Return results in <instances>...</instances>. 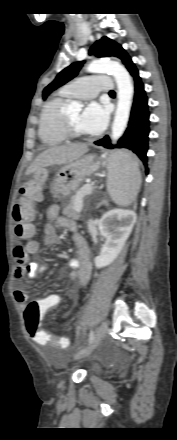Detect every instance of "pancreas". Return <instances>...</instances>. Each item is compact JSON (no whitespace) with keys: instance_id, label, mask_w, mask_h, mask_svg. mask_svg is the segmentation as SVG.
Listing matches in <instances>:
<instances>
[{"instance_id":"1","label":"pancreas","mask_w":177,"mask_h":440,"mask_svg":"<svg viewBox=\"0 0 177 440\" xmlns=\"http://www.w3.org/2000/svg\"><path fill=\"white\" fill-rule=\"evenodd\" d=\"M90 185H86L79 189L74 196H72L70 203L63 209L62 214L67 218L78 220L80 218V213L77 211V204H81L83 207V196H81Z\"/></svg>"}]
</instances>
